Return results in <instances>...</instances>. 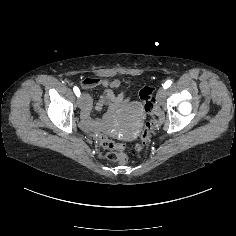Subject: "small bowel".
Listing matches in <instances>:
<instances>
[{
	"label": "small bowel",
	"instance_id": "c3829d8e",
	"mask_svg": "<svg viewBox=\"0 0 236 236\" xmlns=\"http://www.w3.org/2000/svg\"><path fill=\"white\" fill-rule=\"evenodd\" d=\"M94 80H95V79H94ZM96 80H98V81H97V82H93V83H91V84L82 85V86H83V87H86V88H90V87H95V86H97V85H104V86H110V87H117V86L119 85V82H118L117 80H114V81H111V82H108V81L102 80V79H96ZM87 98L91 100V98H90L89 96H85V97H84V107H85L86 99H87ZM91 103H92V102H91ZM96 107H97L98 110H99V109H102V108H100L98 105H97ZM89 110H90V109H89ZM89 110H86V111L83 110L82 115L89 116Z\"/></svg>",
	"mask_w": 236,
	"mask_h": 236
}]
</instances>
